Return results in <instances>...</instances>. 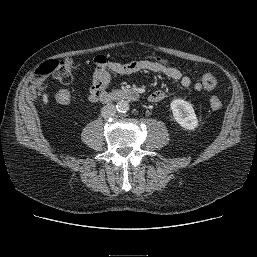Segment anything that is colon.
Returning <instances> with one entry per match:
<instances>
[{"instance_id": "1", "label": "colon", "mask_w": 257, "mask_h": 257, "mask_svg": "<svg viewBox=\"0 0 257 257\" xmlns=\"http://www.w3.org/2000/svg\"><path fill=\"white\" fill-rule=\"evenodd\" d=\"M155 62L168 65V62L163 58H155ZM48 76H53L56 80L63 84H68L73 79V61L70 58L62 60H48L41 64L35 71L33 84L30 88V95L35 97L42 83ZM201 83L204 88L211 90L217 85L216 78L209 73L202 75ZM57 102L61 105H67L72 100V95L68 90H62L57 94ZM209 104L212 109L218 110L222 107V100L218 95H212L209 99Z\"/></svg>"}]
</instances>
